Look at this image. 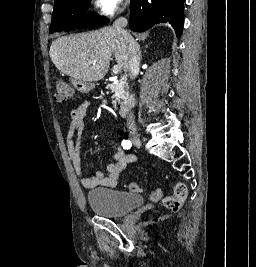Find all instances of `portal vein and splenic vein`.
<instances>
[{"label":"portal vein and splenic vein","mask_w":256,"mask_h":267,"mask_svg":"<svg viewBox=\"0 0 256 267\" xmlns=\"http://www.w3.org/2000/svg\"><path fill=\"white\" fill-rule=\"evenodd\" d=\"M112 72H114V74H118V72H121L120 66H113Z\"/></svg>","instance_id":"portal-vein-and-splenic-vein-1"}]
</instances>
